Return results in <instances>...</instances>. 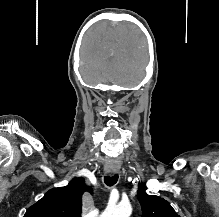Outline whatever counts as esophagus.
I'll list each match as a JSON object with an SVG mask.
<instances>
[{"label":"esophagus","instance_id":"34e87169","mask_svg":"<svg viewBox=\"0 0 219 217\" xmlns=\"http://www.w3.org/2000/svg\"><path fill=\"white\" fill-rule=\"evenodd\" d=\"M107 171L108 173L113 174L115 172V169H108Z\"/></svg>","mask_w":219,"mask_h":217}]
</instances>
